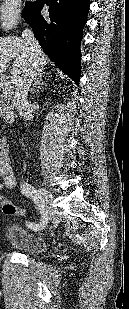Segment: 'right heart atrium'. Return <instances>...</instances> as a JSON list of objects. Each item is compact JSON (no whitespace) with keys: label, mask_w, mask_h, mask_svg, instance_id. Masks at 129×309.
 Wrapping results in <instances>:
<instances>
[{"label":"right heart atrium","mask_w":129,"mask_h":309,"mask_svg":"<svg viewBox=\"0 0 129 309\" xmlns=\"http://www.w3.org/2000/svg\"><path fill=\"white\" fill-rule=\"evenodd\" d=\"M21 18V0H0V28L13 29Z\"/></svg>","instance_id":"d8ad5b80"}]
</instances>
